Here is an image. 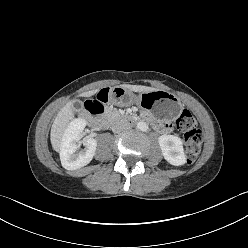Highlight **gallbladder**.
I'll use <instances>...</instances> for the list:
<instances>
[{
    "label": "gallbladder",
    "mask_w": 248,
    "mask_h": 248,
    "mask_svg": "<svg viewBox=\"0 0 248 248\" xmlns=\"http://www.w3.org/2000/svg\"><path fill=\"white\" fill-rule=\"evenodd\" d=\"M73 107L76 109V110H81L82 107H83V104L80 100H74L73 101Z\"/></svg>",
    "instance_id": "gallbladder-1"
}]
</instances>
